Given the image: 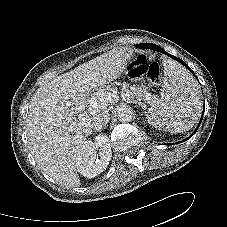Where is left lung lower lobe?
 <instances>
[{"mask_svg":"<svg viewBox=\"0 0 227 227\" xmlns=\"http://www.w3.org/2000/svg\"><path fill=\"white\" fill-rule=\"evenodd\" d=\"M138 47H140V48H152L154 50H157V51H160V52H163V53L167 54L164 49H162L161 47H159V46H157L155 44H140V45H138ZM169 56L171 58L176 59L177 61L181 62L184 66H186L193 73V71L188 67V65H186V63H184L182 60H180L179 58H177L175 56H172V55H169ZM193 75H195V74L193 73ZM202 119H203V115L201 117V120H200V123H199L197 129L199 128ZM197 129L194 131V133L192 135H194L196 133ZM191 136H189L187 139H189Z\"/></svg>","mask_w":227,"mask_h":227,"instance_id":"obj_1","label":"left lung lower lobe"}]
</instances>
